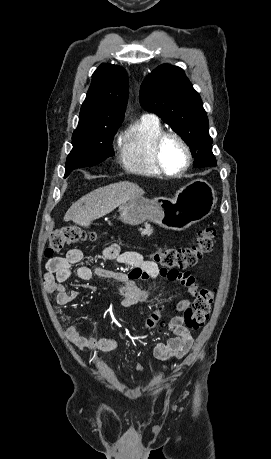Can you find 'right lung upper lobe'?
Masks as SVG:
<instances>
[{
    "instance_id": "right-lung-upper-lobe-1",
    "label": "right lung upper lobe",
    "mask_w": 271,
    "mask_h": 459,
    "mask_svg": "<svg viewBox=\"0 0 271 459\" xmlns=\"http://www.w3.org/2000/svg\"><path fill=\"white\" fill-rule=\"evenodd\" d=\"M128 92V75L124 68L106 63L100 65L92 75L80 119H123Z\"/></svg>"
}]
</instances>
